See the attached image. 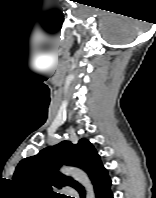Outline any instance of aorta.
<instances>
[{"label":"aorta","mask_w":156,"mask_h":198,"mask_svg":"<svg viewBox=\"0 0 156 198\" xmlns=\"http://www.w3.org/2000/svg\"><path fill=\"white\" fill-rule=\"evenodd\" d=\"M61 171L62 173L73 177L85 188L86 198H95L93 185L84 171L74 167H63Z\"/></svg>","instance_id":"762f6f07"}]
</instances>
